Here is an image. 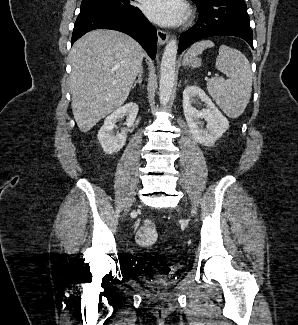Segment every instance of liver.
<instances>
[{"instance_id":"1","label":"liver","mask_w":298,"mask_h":325,"mask_svg":"<svg viewBox=\"0 0 298 325\" xmlns=\"http://www.w3.org/2000/svg\"><path fill=\"white\" fill-rule=\"evenodd\" d=\"M145 52L118 30H91L70 50L72 112L81 132L124 104Z\"/></svg>"}]
</instances>
